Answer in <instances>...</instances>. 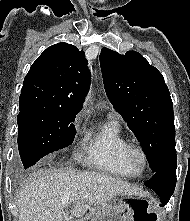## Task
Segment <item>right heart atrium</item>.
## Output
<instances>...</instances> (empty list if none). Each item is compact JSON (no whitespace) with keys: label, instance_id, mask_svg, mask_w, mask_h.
Returning a JSON list of instances; mask_svg holds the SVG:
<instances>
[{"label":"right heart atrium","instance_id":"1","mask_svg":"<svg viewBox=\"0 0 190 221\" xmlns=\"http://www.w3.org/2000/svg\"><path fill=\"white\" fill-rule=\"evenodd\" d=\"M80 138L78 139L77 148L75 151L76 158L80 159L83 157L86 150L87 138L85 136V131L83 129L78 131Z\"/></svg>","mask_w":190,"mask_h":221}]
</instances>
